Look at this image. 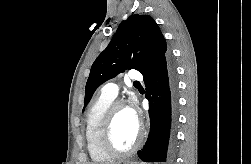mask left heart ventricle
<instances>
[{"mask_svg":"<svg viewBox=\"0 0 251 164\" xmlns=\"http://www.w3.org/2000/svg\"><path fill=\"white\" fill-rule=\"evenodd\" d=\"M138 124L133 121L127 107L120 108L115 116L112 139L120 150L129 149L136 141Z\"/></svg>","mask_w":251,"mask_h":164,"instance_id":"b2bd125f","label":"left heart ventricle"}]
</instances>
